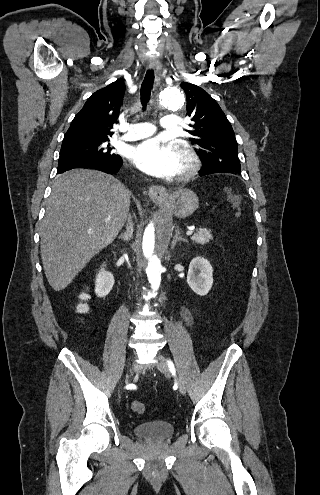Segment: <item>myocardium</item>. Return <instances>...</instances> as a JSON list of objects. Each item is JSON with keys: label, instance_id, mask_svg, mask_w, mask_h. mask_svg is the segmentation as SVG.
<instances>
[{"label": "myocardium", "instance_id": "obj_1", "mask_svg": "<svg viewBox=\"0 0 320 495\" xmlns=\"http://www.w3.org/2000/svg\"><path fill=\"white\" fill-rule=\"evenodd\" d=\"M175 150L182 160V167L177 173V178H189L198 170L200 165L199 158L194 150L185 142L175 144Z\"/></svg>", "mask_w": 320, "mask_h": 495}]
</instances>
